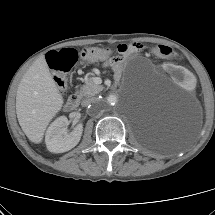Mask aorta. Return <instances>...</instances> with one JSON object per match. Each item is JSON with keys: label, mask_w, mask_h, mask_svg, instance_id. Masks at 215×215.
<instances>
[{"label": "aorta", "mask_w": 215, "mask_h": 215, "mask_svg": "<svg viewBox=\"0 0 215 215\" xmlns=\"http://www.w3.org/2000/svg\"><path fill=\"white\" fill-rule=\"evenodd\" d=\"M117 101V98L114 95H111L107 98V104L108 105H114Z\"/></svg>", "instance_id": "762f6f07"}]
</instances>
